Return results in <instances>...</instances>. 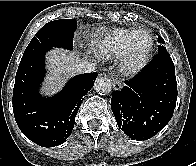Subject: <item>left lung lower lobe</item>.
<instances>
[{
	"mask_svg": "<svg viewBox=\"0 0 196 166\" xmlns=\"http://www.w3.org/2000/svg\"><path fill=\"white\" fill-rule=\"evenodd\" d=\"M126 85L113 92L111 109L127 136L147 140L170 121L176 106L175 67L166 48Z\"/></svg>",
	"mask_w": 196,
	"mask_h": 166,
	"instance_id": "1",
	"label": "left lung lower lobe"
}]
</instances>
